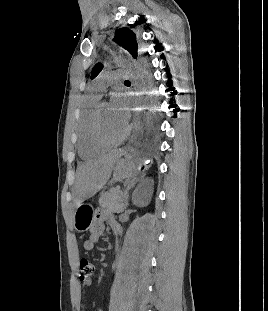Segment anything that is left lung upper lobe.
I'll return each mask as SVG.
<instances>
[{"label": "left lung upper lobe", "instance_id": "5c2ea615", "mask_svg": "<svg viewBox=\"0 0 268 311\" xmlns=\"http://www.w3.org/2000/svg\"><path fill=\"white\" fill-rule=\"evenodd\" d=\"M114 41L127 50L134 59H138V43L136 35L130 29L124 27L115 31ZM103 66L97 63L91 72V79H94L102 70Z\"/></svg>", "mask_w": 268, "mask_h": 311}]
</instances>
